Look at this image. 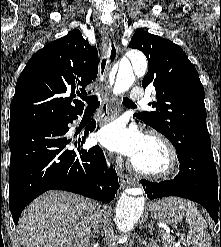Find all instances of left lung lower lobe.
<instances>
[{
  "instance_id": "left-lung-lower-lobe-1",
  "label": "left lung lower lobe",
  "mask_w": 221,
  "mask_h": 247,
  "mask_svg": "<svg viewBox=\"0 0 221 247\" xmlns=\"http://www.w3.org/2000/svg\"><path fill=\"white\" fill-rule=\"evenodd\" d=\"M180 172L172 180L150 182L141 180L149 199L178 196L201 204L212 219L221 223V169L217 171L211 150L210 137L192 142L178 152Z\"/></svg>"
}]
</instances>
